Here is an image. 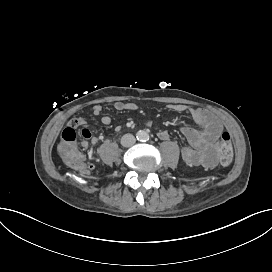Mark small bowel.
<instances>
[{
	"mask_svg": "<svg viewBox=\"0 0 272 272\" xmlns=\"http://www.w3.org/2000/svg\"><path fill=\"white\" fill-rule=\"evenodd\" d=\"M113 108L117 112L122 111H134L137 109V105L133 102H115ZM169 109L175 112H185L188 111L192 116L196 126H184L181 129L182 134L186 138L188 144L181 147V157L184 162L189 165L197 166L204 164L208 166L205 162V156L207 149L212 145V142L219 136L222 131V124L220 120L212 112L203 108L188 107L183 104H172L169 105ZM92 115L94 117H100L103 108L99 104H95L91 108ZM113 119L109 115H104L101 117V122L104 125H110ZM88 124L87 119L84 116H78L70 120L67 126L73 127H84L80 134L84 139L82 142V147L87 148L89 145V140L93 135L92 130L85 127ZM120 130V127L116 128ZM158 137L161 140H167L170 134L166 130H161L158 132Z\"/></svg>",
	"mask_w": 272,
	"mask_h": 272,
	"instance_id": "obj_1",
	"label": "small bowel"
}]
</instances>
